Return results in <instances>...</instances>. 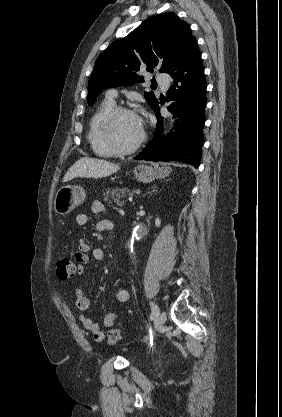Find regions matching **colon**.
Returning <instances> with one entry per match:
<instances>
[{
  "instance_id": "1",
  "label": "colon",
  "mask_w": 282,
  "mask_h": 417,
  "mask_svg": "<svg viewBox=\"0 0 282 417\" xmlns=\"http://www.w3.org/2000/svg\"><path fill=\"white\" fill-rule=\"evenodd\" d=\"M57 275L60 279H69L82 270V266H73V260L62 255L57 259ZM121 337L119 330H108L105 336L106 344H117Z\"/></svg>"
}]
</instances>
